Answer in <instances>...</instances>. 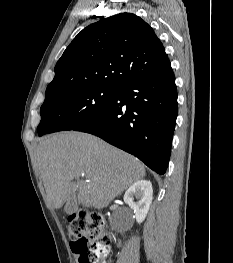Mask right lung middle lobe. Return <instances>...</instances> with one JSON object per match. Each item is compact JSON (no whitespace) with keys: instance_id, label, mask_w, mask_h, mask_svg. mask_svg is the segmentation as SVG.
I'll return each instance as SVG.
<instances>
[{"instance_id":"1","label":"right lung middle lobe","mask_w":233,"mask_h":263,"mask_svg":"<svg viewBox=\"0 0 233 263\" xmlns=\"http://www.w3.org/2000/svg\"><path fill=\"white\" fill-rule=\"evenodd\" d=\"M117 88L90 86L61 92L45 98L40 109L39 136L72 130L106 109Z\"/></svg>"}]
</instances>
